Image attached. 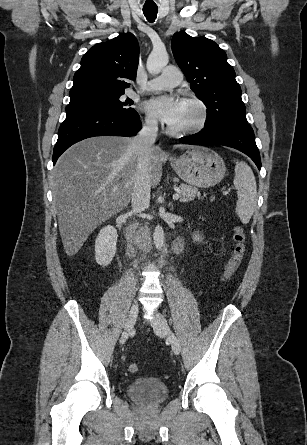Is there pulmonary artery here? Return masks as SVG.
Segmentation results:
<instances>
[{"mask_svg": "<svg viewBox=\"0 0 307 445\" xmlns=\"http://www.w3.org/2000/svg\"><path fill=\"white\" fill-rule=\"evenodd\" d=\"M182 81V70L174 66H169L163 70L161 75L149 82L148 90L155 91L164 87L172 86ZM142 88L146 87L145 83L141 84Z\"/></svg>", "mask_w": 307, "mask_h": 445, "instance_id": "1", "label": "pulmonary artery"}]
</instances>
